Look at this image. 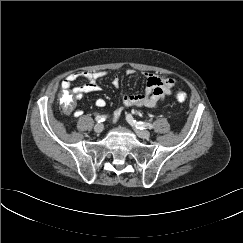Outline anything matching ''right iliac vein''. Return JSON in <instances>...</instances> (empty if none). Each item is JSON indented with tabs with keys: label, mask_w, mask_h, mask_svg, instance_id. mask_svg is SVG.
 Instances as JSON below:
<instances>
[{
	"label": "right iliac vein",
	"mask_w": 243,
	"mask_h": 243,
	"mask_svg": "<svg viewBox=\"0 0 243 243\" xmlns=\"http://www.w3.org/2000/svg\"><path fill=\"white\" fill-rule=\"evenodd\" d=\"M103 130H104V125L101 124V123L96 124L95 127H94V131L97 134H100Z\"/></svg>",
	"instance_id": "right-iliac-vein-1"
}]
</instances>
